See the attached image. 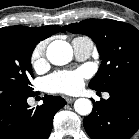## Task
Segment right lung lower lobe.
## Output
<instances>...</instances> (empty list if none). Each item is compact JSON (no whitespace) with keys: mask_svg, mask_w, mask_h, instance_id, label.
<instances>
[{"mask_svg":"<svg viewBox=\"0 0 139 139\" xmlns=\"http://www.w3.org/2000/svg\"><path fill=\"white\" fill-rule=\"evenodd\" d=\"M24 95L12 91H0V139H47L55 113L65 106L60 96L43 98V104L35 109L27 104Z\"/></svg>","mask_w":139,"mask_h":139,"instance_id":"right-lung-lower-lobe-1","label":"right lung lower lobe"}]
</instances>
